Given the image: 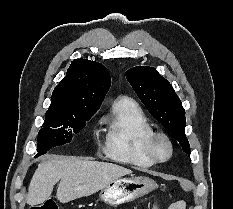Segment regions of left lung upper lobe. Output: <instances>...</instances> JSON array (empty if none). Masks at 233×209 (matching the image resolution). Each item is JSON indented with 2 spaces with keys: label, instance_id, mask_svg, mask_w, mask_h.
I'll return each instance as SVG.
<instances>
[{
  "label": "left lung upper lobe",
  "instance_id": "5c2ea615",
  "mask_svg": "<svg viewBox=\"0 0 233 209\" xmlns=\"http://www.w3.org/2000/svg\"><path fill=\"white\" fill-rule=\"evenodd\" d=\"M126 78L150 114L171 132L189 155L185 111L172 85L155 68L148 66L129 69Z\"/></svg>",
  "mask_w": 233,
  "mask_h": 209
}]
</instances>
